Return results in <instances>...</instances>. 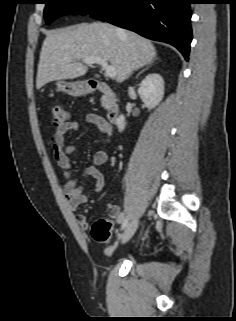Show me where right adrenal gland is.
Returning <instances> with one entry per match:
<instances>
[{"label":"right adrenal gland","mask_w":236,"mask_h":321,"mask_svg":"<svg viewBox=\"0 0 236 321\" xmlns=\"http://www.w3.org/2000/svg\"><path fill=\"white\" fill-rule=\"evenodd\" d=\"M151 65H152V62L148 63V64L146 65V67H145L144 69H142V70L137 74L136 79H138L139 76H140L144 71L148 70V69L151 67Z\"/></svg>","instance_id":"right-adrenal-gland-1"}]
</instances>
